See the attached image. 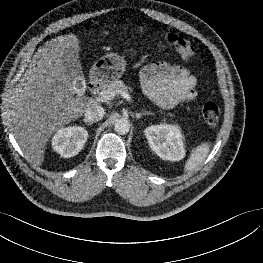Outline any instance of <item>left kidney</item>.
Segmentation results:
<instances>
[{
  "label": "left kidney",
  "instance_id": "5707ae66",
  "mask_svg": "<svg viewBox=\"0 0 263 263\" xmlns=\"http://www.w3.org/2000/svg\"><path fill=\"white\" fill-rule=\"evenodd\" d=\"M150 148L163 160L179 161L185 156L183 137L176 125H152L144 130Z\"/></svg>",
  "mask_w": 263,
  "mask_h": 263
}]
</instances>
